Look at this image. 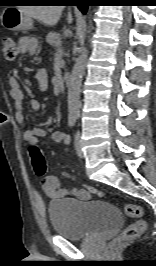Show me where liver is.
<instances>
[{
	"label": "liver",
	"mask_w": 156,
	"mask_h": 266,
	"mask_svg": "<svg viewBox=\"0 0 156 266\" xmlns=\"http://www.w3.org/2000/svg\"><path fill=\"white\" fill-rule=\"evenodd\" d=\"M63 6H22L20 10L30 19L34 18L44 25L54 26L59 21ZM68 23L72 22V15L69 12L67 17Z\"/></svg>",
	"instance_id": "1"
}]
</instances>
